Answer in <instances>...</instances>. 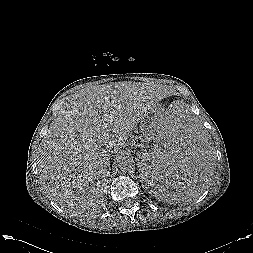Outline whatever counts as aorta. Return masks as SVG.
Wrapping results in <instances>:
<instances>
[{"label": "aorta", "mask_w": 253, "mask_h": 253, "mask_svg": "<svg viewBox=\"0 0 253 253\" xmlns=\"http://www.w3.org/2000/svg\"><path fill=\"white\" fill-rule=\"evenodd\" d=\"M118 167L122 172H130L135 168V162L133 157L123 155L117 160Z\"/></svg>", "instance_id": "aorta-1"}]
</instances>
